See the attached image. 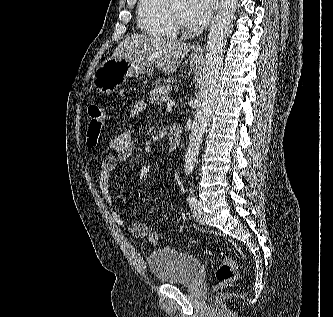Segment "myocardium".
I'll return each instance as SVG.
<instances>
[{
    "label": "myocardium",
    "instance_id": "f54148a6",
    "mask_svg": "<svg viewBox=\"0 0 333 317\" xmlns=\"http://www.w3.org/2000/svg\"><path fill=\"white\" fill-rule=\"evenodd\" d=\"M164 11L166 17L170 24L177 30V31H186L188 26L187 24L182 21L173 11L172 8V0H164Z\"/></svg>",
    "mask_w": 333,
    "mask_h": 317
}]
</instances>
